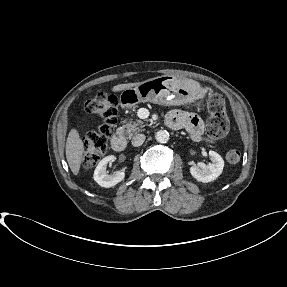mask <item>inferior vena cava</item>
<instances>
[{
    "label": "inferior vena cava",
    "mask_w": 287,
    "mask_h": 287,
    "mask_svg": "<svg viewBox=\"0 0 287 287\" xmlns=\"http://www.w3.org/2000/svg\"><path fill=\"white\" fill-rule=\"evenodd\" d=\"M145 139L146 137L144 134H137L132 138L131 142L134 147H138L144 143Z\"/></svg>",
    "instance_id": "602c4592"
}]
</instances>
